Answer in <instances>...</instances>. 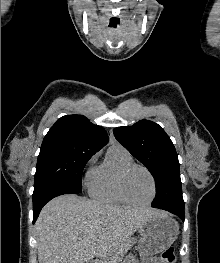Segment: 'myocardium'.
<instances>
[{"label": "myocardium", "mask_w": 220, "mask_h": 263, "mask_svg": "<svg viewBox=\"0 0 220 263\" xmlns=\"http://www.w3.org/2000/svg\"><path fill=\"white\" fill-rule=\"evenodd\" d=\"M135 169H141V170L145 171L147 173V175L149 176L151 182H152V195L149 198V200H147L145 202H136V201L132 200L128 194V191H127V179L129 177V175L131 174V172ZM119 190H120L122 197L125 199V201L127 203L134 205V206H146V205L151 204L156 197L157 183H156V179H155L153 173L147 167L140 165V164L133 163V164L125 167L123 169V171L121 172L120 178H119Z\"/></svg>", "instance_id": "myocardium-1"}]
</instances>
